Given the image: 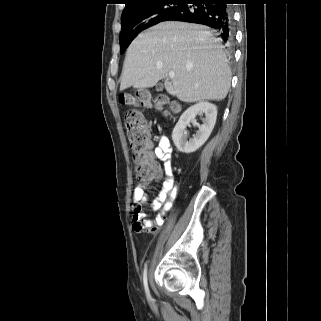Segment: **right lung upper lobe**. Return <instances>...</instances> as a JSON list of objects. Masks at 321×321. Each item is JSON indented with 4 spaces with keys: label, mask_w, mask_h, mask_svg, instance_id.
Listing matches in <instances>:
<instances>
[{
    "label": "right lung upper lobe",
    "mask_w": 321,
    "mask_h": 321,
    "mask_svg": "<svg viewBox=\"0 0 321 321\" xmlns=\"http://www.w3.org/2000/svg\"><path fill=\"white\" fill-rule=\"evenodd\" d=\"M125 1H126L125 8L122 12L121 17L134 13L136 10L146 5L148 2L154 1V0H125Z\"/></svg>",
    "instance_id": "right-lung-upper-lobe-1"
}]
</instances>
